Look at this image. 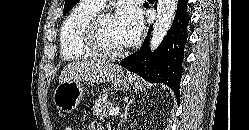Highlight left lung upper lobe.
<instances>
[{
    "instance_id": "5c2ea615",
    "label": "left lung upper lobe",
    "mask_w": 249,
    "mask_h": 130,
    "mask_svg": "<svg viewBox=\"0 0 249 130\" xmlns=\"http://www.w3.org/2000/svg\"><path fill=\"white\" fill-rule=\"evenodd\" d=\"M77 3L78 0H66L64 4L63 14H67ZM147 5V3L144 4L145 7H147Z\"/></svg>"
}]
</instances>
